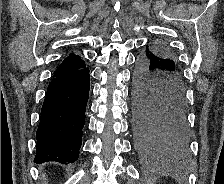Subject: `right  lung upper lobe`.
Segmentation results:
<instances>
[{"instance_id": "right-lung-upper-lobe-1", "label": "right lung upper lobe", "mask_w": 224, "mask_h": 184, "mask_svg": "<svg viewBox=\"0 0 224 184\" xmlns=\"http://www.w3.org/2000/svg\"><path fill=\"white\" fill-rule=\"evenodd\" d=\"M82 64H84V61L79 56L72 53L63 60L56 72L77 68Z\"/></svg>"}]
</instances>
